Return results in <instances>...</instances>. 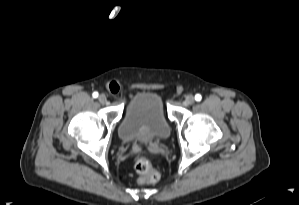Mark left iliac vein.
Returning a JSON list of instances; mask_svg holds the SVG:
<instances>
[{"label": "left iliac vein", "mask_w": 299, "mask_h": 205, "mask_svg": "<svg viewBox=\"0 0 299 205\" xmlns=\"http://www.w3.org/2000/svg\"><path fill=\"white\" fill-rule=\"evenodd\" d=\"M195 102V98L193 95L189 94L185 97L184 103L185 105H192Z\"/></svg>", "instance_id": "obj_1"}]
</instances>
